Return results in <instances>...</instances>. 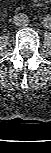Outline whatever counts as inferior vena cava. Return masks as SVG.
Masks as SVG:
<instances>
[{
    "label": "inferior vena cava",
    "mask_w": 51,
    "mask_h": 153,
    "mask_svg": "<svg viewBox=\"0 0 51 153\" xmlns=\"http://www.w3.org/2000/svg\"><path fill=\"white\" fill-rule=\"evenodd\" d=\"M29 22V18L26 14L24 13H18L13 17V23L16 26H25Z\"/></svg>",
    "instance_id": "602c4592"
}]
</instances>
